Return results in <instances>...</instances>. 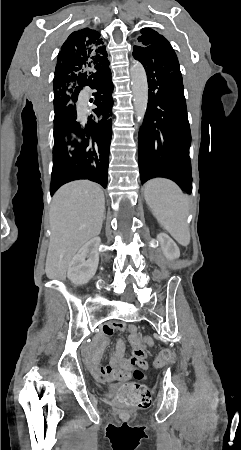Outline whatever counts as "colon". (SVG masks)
Segmentation results:
<instances>
[{"label":"colon","instance_id":"colon-1","mask_svg":"<svg viewBox=\"0 0 241 450\" xmlns=\"http://www.w3.org/2000/svg\"><path fill=\"white\" fill-rule=\"evenodd\" d=\"M171 349L166 347L160 353V357L156 361V366L159 367L169 361V353ZM133 376L136 379H142L144 373L141 369H135ZM116 403L128 410H145L151 407V396L149 390L144 385L126 384L119 387L115 395Z\"/></svg>","mask_w":241,"mask_h":450}]
</instances>
